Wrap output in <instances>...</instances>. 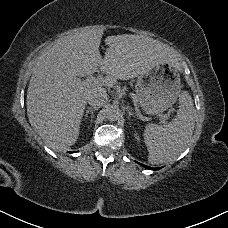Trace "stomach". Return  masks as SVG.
Returning a JSON list of instances; mask_svg holds the SVG:
<instances>
[{
    "instance_id": "1",
    "label": "stomach",
    "mask_w": 228,
    "mask_h": 228,
    "mask_svg": "<svg viewBox=\"0 0 228 228\" xmlns=\"http://www.w3.org/2000/svg\"><path fill=\"white\" fill-rule=\"evenodd\" d=\"M181 88L178 69L161 64L138 76L135 92L142 109L147 114L157 115L176 103Z\"/></svg>"
}]
</instances>
